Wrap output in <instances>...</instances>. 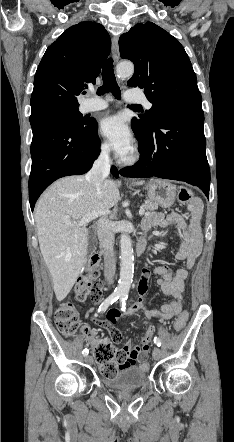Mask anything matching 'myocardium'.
<instances>
[{
  "label": "myocardium",
  "instance_id": "myocardium-1",
  "mask_svg": "<svg viewBox=\"0 0 234 442\" xmlns=\"http://www.w3.org/2000/svg\"><path fill=\"white\" fill-rule=\"evenodd\" d=\"M140 159V154L137 151H134L133 153H131L129 156L123 158L121 160V163L124 166H132L134 164H136Z\"/></svg>",
  "mask_w": 234,
  "mask_h": 442
}]
</instances>
